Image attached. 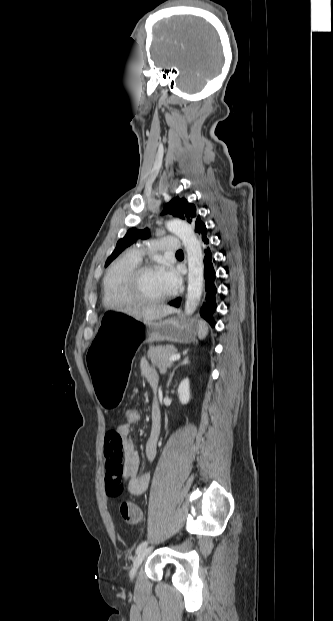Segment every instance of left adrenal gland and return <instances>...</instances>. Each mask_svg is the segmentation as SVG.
Here are the masks:
<instances>
[{"instance_id": "left-adrenal-gland-1", "label": "left adrenal gland", "mask_w": 333, "mask_h": 621, "mask_svg": "<svg viewBox=\"0 0 333 621\" xmlns=\"http://www.w3.org/2000/svg\"><path fill=\"white\" fill-rule=\"evenodd\" d=\"M185 353H186V352H184V354H185ZM189 363H190V361H189V358H188V356H187V357H185V358H184V360H183L180 364H178V365H177V366L173 369L172 373H171V374H170V376H169V379H168V382H167V387H169V385H170V383H171V380H172V378H173V376H174V374H175V371H176V370H177L180 366H183V365H188Z\"/></svg>"}]
</instances>
